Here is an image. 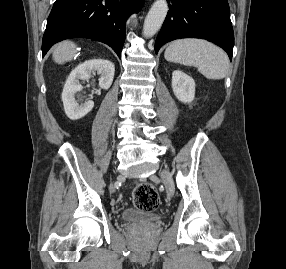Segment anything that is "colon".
Wrapping results in <instances>:
<instances>
[{
    "label": "colon",
    "instance_id": "obj_1",
    "mask_svg": "<svg viewBox=\"0 0 286 269\" xmlns=\"http://www.w3.org/2000/svg\"><path fill=\"white\" fill-rule=\"evenodd\" d=\"M133 202L138 209L151 212L159 207L160 198L152 184L143 182L136 186Z\"/></svg>",
    "mask_w": 286,
    "mask_h": 269
}]
</instances>
